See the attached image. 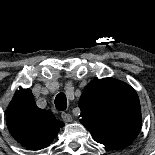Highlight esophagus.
Returning <instances> with one entry per match:
<instances>
[{
    "mask_svg": "<svg viewBox=\"0 0 155 155\" xmlns=\"http://www.w3.org/2000/svg\"><path fill=\"white\" fill-rule=\"evenodd\" d=\"M61 117L64 122H72V116L69 113H62Z\"/></svg>",
    "mask_w": 155,
    "mask_h": 155,
    "instance_id": "34e87169",
    "label": "esophagus"
}]
</instances>
